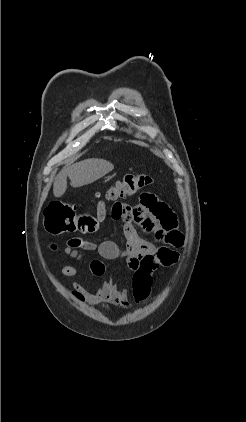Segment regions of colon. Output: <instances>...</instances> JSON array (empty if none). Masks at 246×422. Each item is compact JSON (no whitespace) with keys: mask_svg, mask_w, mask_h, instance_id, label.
Here are the masks:
<instances>
[{"mask_svg":"<svg viewBox=\"0 0 246 422\" xmlns=\"http://www.w3.org/2000/svg\"><path fill=\"white\" fill-rule=\"evenodd\" d=\"M153 178L147 173L126 174L115 182L105 193L97 197L95 211L78 213L74 204L53 201L44 212V227L51 234L63 232L88 233L96 229L107 211V202L120 204L119 200L132 196L140 190L150 186ZM179 258L177 251L161 249L154 254L144 255L136 262L133 269V297L137 302H144L150 295L152 272L159 267L174 265Z\"/></svg>","mask_w":246,"mask_h":422,"instance_id":"colon-1","label":"colon"}]
</instances>
